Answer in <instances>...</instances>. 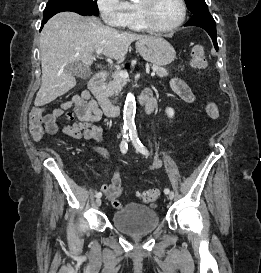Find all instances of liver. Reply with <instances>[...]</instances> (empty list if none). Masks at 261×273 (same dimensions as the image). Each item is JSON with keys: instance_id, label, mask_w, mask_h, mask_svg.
<instances>
[{"instance_id": "obj_1", "label": "liver", "mask_w": 261, "mask_h": 273, "mask_svg": "<svg viewBox=\"0 0 261 273\" xmlns=\"http://www.w3.org/2000/svg\"><path fill=\"white\" fill-rule=\"evenodd\" d=\"M145 38L149 37L105 26L94 16L74 12L54 15L40 34L42 78L34 105H46L76 86L74 75L65 72L68 64L81 62L88 69L100 48L105 56L121 63L131 43Z\"/></svg>"}]
</instances>
